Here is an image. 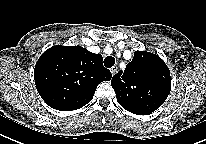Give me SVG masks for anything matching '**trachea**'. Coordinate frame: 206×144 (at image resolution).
<instances>
[{
	"instance_id": "1",
	"label": "trachea",
	"mask_w": 206,
	"mask_h": 144,
	"mask_svg": "<svg viewBox=\"0 0 206 144\" xmlns=\"http://www.w3.org/2000/svg\"><path fill=\"white\" fill-rule=\"evenodd\" d=\"M114 64H115V58H114V57H112V56H107V57L104 59V65H105L107 68H111Z\"/></svg>"
}]
</instances>
